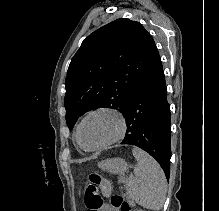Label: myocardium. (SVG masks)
<instances>
[{
    "label": "myocardium",
    "mask_w": 219,
    "mask_h": 211,
    "mask_svg": "<svg viewBox=\"0 0 219 211\" xmlns=\"http://www.w3.org/2000/svg\"><path fill=\"white\" fill-rule=\"evenodd\" d=\"M98 113H109V114H112L114 115L117 120H118V130L116 132V134L111 137L109 140H107L106 142L102 143L101 145H98V146H95V147H90V148H87L83 145L82 141H81V128H82V125L83 123L85 122V120L90 117L91 115H94V114H98ZM126 128H127V120H126V117L125 115L117 108L115 107H110V106H100V107H97V108H94L90 111H88L83 117L82 119L80 120L78 126H77V130H76V137H77V140H78V143L79 145L88 150V151H96V150H101V149H104L116 142H118L119 140H121L124 135H125V132H126Z\"/></svg>",
    "instance_id": "obj_1"
}]
</instances>
